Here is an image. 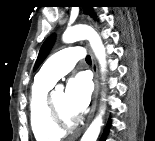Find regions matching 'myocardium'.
I'll list each match as a JSON object with an SVG mask.
<instances>
[{
    "instance_id": "1",
    "label": "myocardium",
    "mask_w": 155,
    "mask_h": 141,
    "mask_svg": "<svg viewBox=\"0 0 155 141\" xmlns=\"http://www.w3.org/2000/svg\"><path fill=\"white\" fill-rule=\"evenodd\" d=\"M46 109L50 123L61 132L74 129L79 122V120L75 117L66 119L60 114L53 102V92H50L47 95Z\"/></svg>"
}]
</instances>
